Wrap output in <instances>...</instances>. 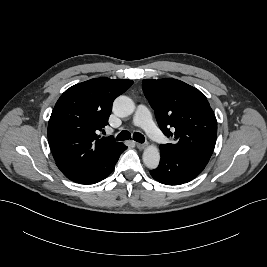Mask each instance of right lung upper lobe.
<instances>
[{
  "instance_id": "obj_1",
  "label": "right lung upper lobe",
  "mask_w": 267,
  "mask_h": 267,
  "mask_svg": "<svg viewBox=\"0 0 267 267\" xmlns=\"http://www.w3.org/2000/svg\"><path fill=\"white\" fill-rule=\"evenodd\" d=\"M133 81L95 78L67 89L48 123V141L56 162H88L115 151L122 143L97 132L107 124L114 99Z\"/></svg>"
}]
</instances>
